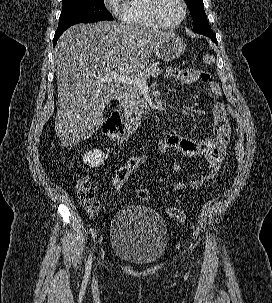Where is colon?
<instances>
[{"instance_id": "obj_1", "label": "colon", "mask_w": 272, "mask_h": 303, "mask_svg": "<svg viewBox=\"0 0 272 303\" xmlns=\"http://www.w3.org/2000/svg\"><path fill=\"white\" fill-rule=\"evenodd\" d=\"M203 62L207 65L214 63L213 55L206 54L203 56ZM230 114L237 125V141L235 146V162L241 163L244 158V125L240 116L233 110ZM152 163V158L149 154L143 153L129 158L125 164L120 166L114 176V189L117 193L122 191V188L131 174L136 170L148 167ZM77 194L80 202L90 213H96L99 210V204L95 200V190L91 187L88 180L83 177L77 183ZM137 197L142 201H148L151 198L150 192L146 188H138L136 190ZM170 218L179 222H185L187 216L184 211L170 207L167 210Z\"/></svg>"}]
</instances>
